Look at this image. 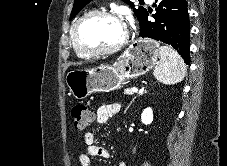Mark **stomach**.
Wrapping results in <instances>:
<instances>
[{"label": "stomach", "instance_id": "obj_1", "mask_svg": "<svg viewBox=\"0 0 227 166\" xmlns=\"http://www.w3.org/2000/svg\"><path fill=\"white\" fill-rule=\"evenodd\" d=\"M160 55L157 42L148 39L134 41L114 65H101L92 69H72L65 77L70 94L84 99L96 92H110L150 71Z\"/></svg>", "mask_w": 227, "mask_h": 166}]
</instances>
